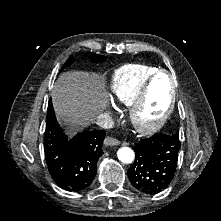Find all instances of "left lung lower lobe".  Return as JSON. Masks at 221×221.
Returning a JSON list of instances; mask_svg holds the SVG:
<instances>
[{
    "mask_svg": "<svg viewBox=\"0 0 221 221\" xmlns=\"http://www.w3.org/2000/svg\"><path fill=\"white\" fill-rule=\"evenodd\" d=\"M179 136L154 134L135 144V161L127 171L131 184L144 194L165 189L175 175Z\"/></svg>",
    "mask_w": 221,
    "mask_h": 221,
    "instance_id": "1",
    "label": "left lung lower lobe"
}]
</instances>
